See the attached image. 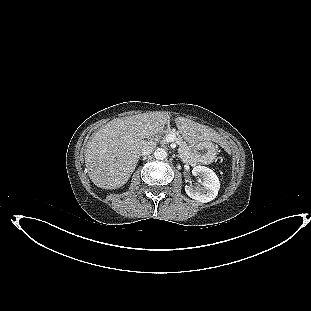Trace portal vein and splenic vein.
I'll return each mask as SVG.
<instances>
[{
	"instance_id": "18ae733b",
	"label": "portal vein and splenic vein",
	"mask_w": 311,
	"mask_h": 311,
	"mask_svg": "<svg viewBox=\"0 0 311 311\" xmlns=\"http://www.w3.org/2000/svg\"><path fill=\"white\" fill-rule=\"evenodd\" d=\"M165 141L166 142H174V141H176V136L174 134H170V135L166 136Z\"/></svg>"
}]
</instances>
